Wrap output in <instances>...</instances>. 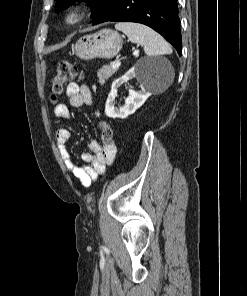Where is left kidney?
<instances>
[{
    "mask_svg": "<svg viewBox=\"0 0 247 296\" xmlns=\"http://www.w3.org/2000/svg\"><path fill=\"white\" fill-rule=\"evenodd\" d=\"M163 67L162 61L159 60H139L124 76L113 82L111 92L106 101L105 114L110 118L124 119L135 113L151 96V92L148 89ZM133 78H136L140 83L141 91L129 90V96L125 99V104L121 107H115L114 101L117 97L118 88Z\"/></svg>",
    "mask_w": 247,
    "mask_h": 296,
    "instance_id": "5707ae66",
    "label": "left kidney"
}]
</instances>
